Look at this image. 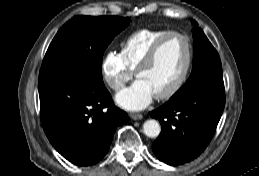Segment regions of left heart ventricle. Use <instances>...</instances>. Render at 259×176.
Here are the masks:
<instances>
[{"label": "left heart ventricle", "mask_w": 259, "mask_h": 176, "mask_svg": "<svg viewBox=\"0 0 259 176\" xmlns=\"http://www.w3.org/2000/svg\"><path fill=\"white\" fill-rule=\"evenodd\" d=\"M186 42L172 36L161 46L155 61L140 72L138 79L144 81L154 95L166 91L178 78L186 62Z\"/></svg>", "instance_id": "obj_1"}]
</instances>
